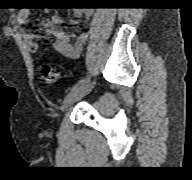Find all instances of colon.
Instances as JSON below:
<instances>
[{"mask_svg": "<svg viewBox=\"0 0 192 180\" xmlns=\"http://www.w3.org/2000/svg\"><path fill=\"white\" fill-rule=\"evenodd\" d=\"M41 72H42L43 80L46 84L53 85L57 83L58 73L53 67L49 65H45L42 67Z\"/></svg>", "mask_w": 192, "mask_h": 180, "instance_id": "colon-1", "label": "colon"}]
</instances>
